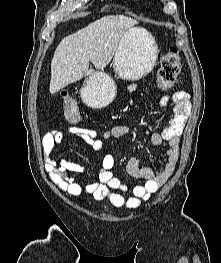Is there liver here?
I'll return each mask as SVG.
<instances>
[{"label":"liver","instance_id":"6515ba94","mask_svg":"<svg viewBox=\"0 0 221 263\" xmlns=\"http://www.w3.org/2000/svg\"><path fill=\"white\" fill-rule=\"evenodd\" d=\"M138 21L124 15L104 16L72 35L64 37L51 61L49 91L56 93L71 83L104 69L112 60L123 35Z\"/></svg>","mask_w":221,"mask_h":263}]
</instances>
